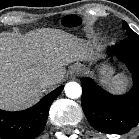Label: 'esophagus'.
Instances as JSON below:
<instances>
[{
	"label": "esophagus",
	"mask_w": 139,
	"mask_h": 139,
	"mask_svg": "<svg viewBox=\"0 0 139 139\" xmlns=\"http://www.w3.org/2000/svg\"><path fill=\"white\" fill-rule=\"evenodd\" d=\"M81 70H82V68L80 66H73L70 69L69 73L72 77H74V76L78 75L81 72Z\"/></svg>",
	"instance_id": "esophagus-1"
}]
</instances>
